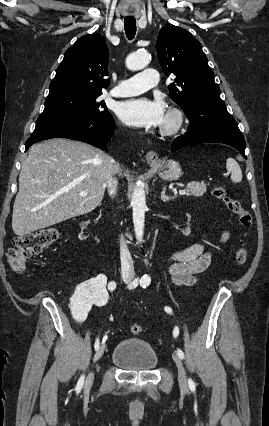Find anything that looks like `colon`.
I'll return each mask as SVG.
<instances>
[{
    "label": "colon",
    "instance_id": "1",
    "mask_svg": "<svg viewBox=\"0 0 269 426\" xmlns=\"http://www.w3.org/2000/svg\"><path fill=\"white\" fill-rule=\"evenodd\" d=\"M211 194L215 199L220 201L230 213L238 217L239 223L244 229H248L252 226L253 218L251 213L242 206L239 200L229 197L224 187L215 186ZM57 239L58 231L50 227L18 235L13 239V246L9 248L6 253L7 262L15 272L23 273L26 270L27 259L48 248L54 244ZM247 256L248 251L245 243L241 242L235 253L236 265H243L246 262ZM130 331L138 335L142 333L143 327L140 324L134 323L131 325Z\"/></svg>",
    "mask_w": 269,
    "mask_h": 426
}]
</instances>
